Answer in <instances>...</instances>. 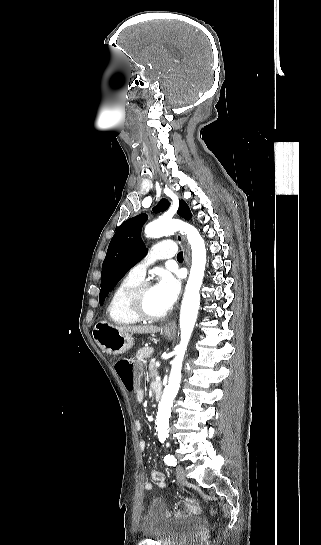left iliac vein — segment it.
<instances>
[{"instance_id": "1", "label": "left iliac vein", "mask_w": 321, "mask_h": 545, "mask_svg": "<svg viewBox=\"0 0 321 545\" xmlns=\"http://www.w3.org/2000/svg\"><path fill=\"white\" fill-rule=\"evenodd\" d=\"M176 477L179 482H185L186 481V472L182 466L176 467Z\"/></svg>"}]
</instances>
